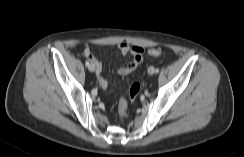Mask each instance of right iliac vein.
I'll list each match as a JSON object with an SVG mask.
<instances>
[{"label":"right iliac vein","mask_w":244,"mask_h":157,"mask_svg":"<svg viewBox=\"0 0 244 157\" xmlns=\"http://www.w3.org/2000/svg\"><path fill=\"white\" fill-rule=\"evenodd\" d=\"M88 69H89L90 72H94L95 71V68H94V66L92 64H90L88 66Z\"/></svg>","instance_id":"63e3f726"}]
</instances>
